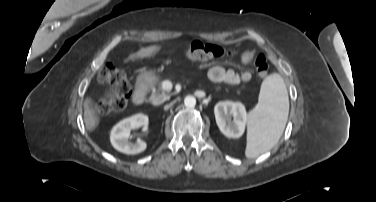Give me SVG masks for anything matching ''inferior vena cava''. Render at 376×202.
<instances>
[{"label": "inferior vena cava", "instance_id": "inferior-vena-cava-1", "mask_svg": "<svg viewBox=\"0 0 376 202\" xmlns=\"http://www.w3.org/2000/svg\"><path fill=\"white\" fill-rule=\"evenodd\" d=\"M168 107H169L168 105L165 106V108H168Z\"/></svg>", "mask_w": 376, "mask_h": 202}]
</instances>
